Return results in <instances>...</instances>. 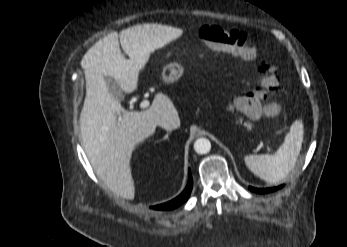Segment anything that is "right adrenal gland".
<instances>
[{"instance_id":"2a0ac1e0","label":"right adrenal gland","mask_w":347,"mask_h":247,"mask_svg":"<svg viewBox=\"0 0 347 247\" xmlns=\"http://www.w3.org/2000/svg\"><path fill=\"white\" fill-rule=\"evenodd\" d=\"M169 135H170V132H168V133L163 137L162 140H159V141H157V142H160V141H163V140H167L168 137H169Z\"/></svg>"}]
</instances>
